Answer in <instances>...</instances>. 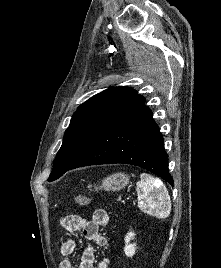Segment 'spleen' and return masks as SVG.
I'll list each match as a JSON object with an SVG mask.
<instances>
[{"instance_id":"obj_1","label":"spleen","mask_w":221,"mask_h":268,"mask_svg":"<svg viewBox=\"0 0 221 268\" xmlns=\"http://www.w3.org/2000/svg\"><path fill=\"white\" fill-rule=\"evenodd\" d=\"M140 179L136 186L138 207L156 218H168L171 201L164 183L147 173H141Z\"/></svg>"}]
</instances>
